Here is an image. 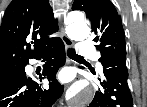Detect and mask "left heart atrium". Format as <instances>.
Returning <instances> with one entry per match:
<instances>
[{"label":"left heart atrium","instance_id":"39dd6f15","mask_svg":"<svg viewBox=\"0 0 147 107\" xmlns=\"http://www.w3.org/2000/svg\"><path fill=\"white\" fill-rule=\"evenodd\" d=\"M62 77H63L64 79H67V75H65V74H63Z\"/></svg>","mask_w":147,"mask_h":107}]
</instances>
